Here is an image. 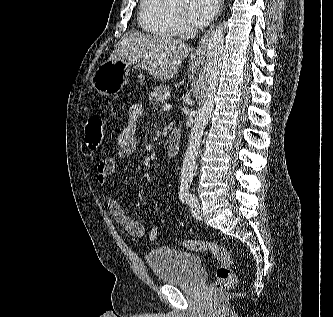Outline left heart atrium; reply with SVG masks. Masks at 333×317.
I'll return each mask as SVG.
<instances>
[{
  "mask_svg": "<svg viewBox=\"0 0 333 317\" xmlns=\"http://www.w3.org/2000/svg\"><path fill=\"white\" fill-rule=\"evenodd\" d=\"M217 11V0H189L184 11L186 20L193 26L206 25Z\"/></svg>",
  "mask_w": 333,
  "mask_h": 317,
  "instance_id": "obj_1",
  "label": "left heart atrium"
}]
</instances>
